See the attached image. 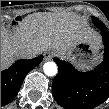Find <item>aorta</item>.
Listing matches in <instances>:
<instances>
[{
	"mask_svg": "<svg viewBox=\"0 0 109 109\" xmlns=\"http://www.w3.org/2000/svg\"><path fill=\"white\" fill-rule=\"evenodd\" d=\"M43 70L47 76H54L57 74V65L55 62H46L43 66Z\"/></svg>",
	"mask_w": 109,
	"mask_h": 109,
	"instance_id": "1",
	"label": "aorta"
}]
</instances>
